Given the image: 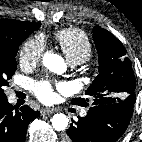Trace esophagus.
Listing matches in <instances>:
<instances>
[{
  "label": "esophagus",
  "instance_id": "1",
  "mask_svg": "<svg viewBox=\"0 0 142 142\" xmlns=\"http://www.w3.org/2000/svg\"><path fill=\"white\" fill-rule=\"evenodd\" d=\"M53 112H54L53 109L44 108V109L41 110V115H42V116H45V115H49V114H51V113H53Z\"/></svg>",
  "mask_w": 142,
  "mask_h": 142
}]
</instances>
